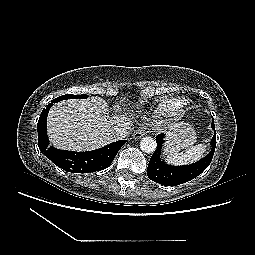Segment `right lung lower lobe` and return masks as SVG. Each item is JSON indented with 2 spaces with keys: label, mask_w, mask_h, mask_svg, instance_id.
<instances>
[{
  "label": "right lung lower lobe",
  "mask_w": 255,
  "mask_h": 255,
  "mask_svg": "<svg viewBox=\"0 0 255 255\" xmlns=\"http://www.w3.org/2000/svg\"><path fill=\"white\" fill-rule=\"evenodd\" d=\"M49 109L50 106H47L42 111L38 121L39 149L54 164L67 172L87 173L104 170L112 163L116 154L125 143V140H121L103 148L86 152L65 151L48 147L47 115Z\"/></svg>",
  "instance_id": "obj_1"
}]
</instances>
